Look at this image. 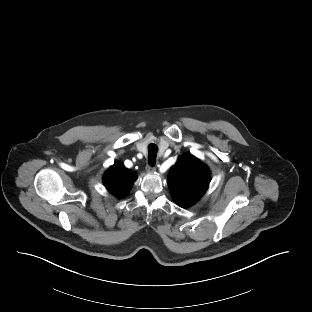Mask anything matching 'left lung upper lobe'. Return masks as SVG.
I'll return each mask as SVG.
<instances>
[{
    "instance_id": "left-lung-upper-lobe-1",
    "label": "left lung upper lobe",
    "mask_w": 312,
    "mask_h": 312,
    "mask_svg": "<svg viewBox=\"0 0 312 312\" xmlns=\"http://www.w3.org/2000/svg\"><path fill=\"white\" fill-rule=\"evenodd\" d=\"M211 180L209 170L190 153L180 157L168 174V186L174 201L187 208L206 192Z\"/></svg>"
}]
</instances>
